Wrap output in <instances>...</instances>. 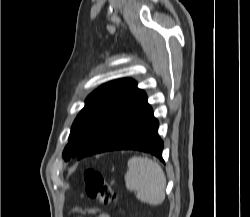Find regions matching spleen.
<instances>
[{"label": "spleen", "mask_w": 250, "mask_h": 217, "mask_svg": "<svg viewBox=\"0 0 250 217\" xmlns=\"http://www.w3.org/2000/svg\"><path fill=\"white\" fill-rule=\"evenodd\" d=\"M125 174L126 188L136 191V198L149 205L165 200L166 177L157 162L150 158L132 157Z\"/></svg>", "instance_id": "spleen-1"}]
</instances>
